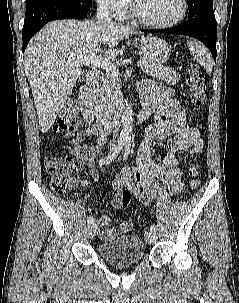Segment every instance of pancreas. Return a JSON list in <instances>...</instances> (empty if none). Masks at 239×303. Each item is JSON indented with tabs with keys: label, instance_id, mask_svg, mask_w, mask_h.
Instances as JSON below:
<instances>
[{
	"label": "pancreas",
	"instance_id": "cf45deb5",
	"mask_svg": "<svg viewBox=\"0 0 239 303\" xmlns=\"http://www.w3.org/2000/svg\"><path fill=\"white\" fill-rule=\"evenodd\" d=\"M141 61L150 65V68L143 69L148 75L171 84H176L181 79L180 74L170 67L156 64L147 57H142ZM120 97V80L116 76L107 73L95 90V113L98 115L109 113L118 105Z\"/></svg>",
	"mask_w": 239,
	"mask_h": 303
}]
</instances>
